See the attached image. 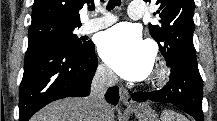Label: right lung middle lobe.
<instances>
[{"label": "right lung middle lobe", "mask_w": 217, "mask_h": 121, "mask_svg": "<svg viewBox=\"0 0 217 121\" xmlns=\"http://www.w3.org/2000/svg\"><path fill=\"white\" fill-rule=\"evenodd\" d=\"M81 24L56 19L31 22L28 49L45 45H62L69 48H82L86 42L77 37L75 31Z\"/></svg>", "instance_id": "obj_1"}]
</instances>
